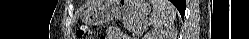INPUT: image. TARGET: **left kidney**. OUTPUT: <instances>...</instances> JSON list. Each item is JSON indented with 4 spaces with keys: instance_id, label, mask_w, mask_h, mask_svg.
<instances>
[{
    "instance_id": "obj_1",
    "label": "left kidney",
    "mask_w": 249,
    "mask_h": 39,
    "mask_svg": "<svg viewBox=\"0 0 249 39\" xmlns=\"http://www.w3.org/2000/svg\"><path fill=\"white\" fill-rule=\"evenodd\" d=\"M144 39H172V37L167 34V32H158V31H151L149 32Z\"/></svg>"
}]
</instances>
